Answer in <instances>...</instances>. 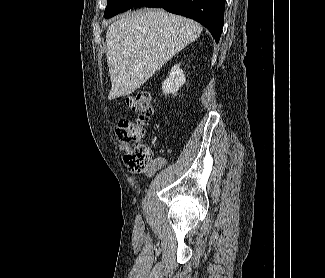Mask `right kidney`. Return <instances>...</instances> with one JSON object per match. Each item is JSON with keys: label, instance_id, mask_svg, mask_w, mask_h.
Listing matches in <instances>:
<instances>
[{"label": "right kidney", "instance_id": "ca27d5eb", "mask_svg": "<svg viewBox=\"0 0 325 278\" xmlns=\"http://www.w3.org/2000/svg\"><path fill=\"white\" fill-rule=\"evenodd\" d=\"M185 81V75L183 70L180 68V64H176L172 67L169 77H167L162 83V91L165 95L173 94L176 96L178 90L184 85Z\"/></svg>", "mask_w": 325, "mask_h": 278}]
</instances>
